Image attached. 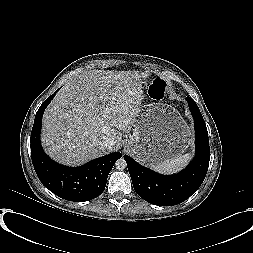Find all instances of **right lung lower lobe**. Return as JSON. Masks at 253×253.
<instances>
[{"mask_svg":"<svg viewBox=\"0 0 253 253\" xmlns=\"http://www.w3.org/2000/svg\"><path fill=\"white\" fill-rule=\"evenodd\" d=\"M54 96L51 95L41 104L35 116L31 132L34 169L41 183L55 195L75 202L92 200L104 191L108 174L122 154L112 153L80 167H67L51 160L42 149L40 130L44 110Z\"/></svg>","mask_w":253,"mask_h":253,"instance_id":"98d812e1","label":"right lung lower lobe"}]
</instances>
